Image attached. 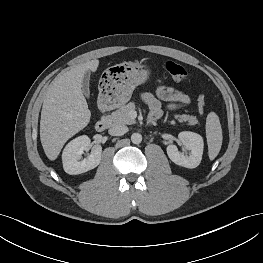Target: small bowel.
Segmentation results:
<instances>
[{
  "instance_id": "obj_1",
  "label": "small bowel",
  "mask_w": 263,
  "mask_h": 263,
  "mask_svg": "<svg viewBox=\"0 0 263 263\" xmlns=\"http://www.w3.org/2000/svg\"><path fill=\"white\" fill-rule=\"evenodd\" d=\"M141 97L150 108V119L152 121L159 119L163 115L162 101L167 103L169 110H176L189 103V97L186 94L179 93L169 87L160 88L156 96L150 93H143Z\"/></svg>"
}]
</instances>
